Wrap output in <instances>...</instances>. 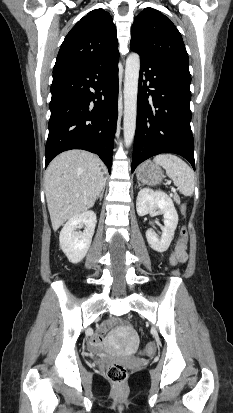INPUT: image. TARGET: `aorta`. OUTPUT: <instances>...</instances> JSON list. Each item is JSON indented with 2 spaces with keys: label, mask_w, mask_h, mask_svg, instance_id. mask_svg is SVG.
I'll return each mask as SVG.
<instances>
[{
  "label": "aorta",
  "mask_w": 233,
  "mask_h": 413,
  "mask_svg": "<svg viewBox=\"0 0 233 413\" xmlns=\"http://www.w3.org/2000/svg\"><path fill=\"white\" fill-rule=\"evenodd\" d=\"M140 71V56L131 53L126 59L124 79V142L128 147L132 144L137 120V94Z\"/></svg>",
  "instance_id": "aorta-1"
}]
</instances>
